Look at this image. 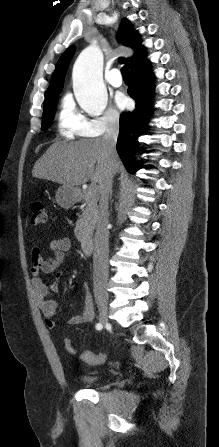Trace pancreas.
<instances>
[{
  "instance_id": "cf45deb5",
  "label": "pancreas",
  "mask_w": 219,
  "mask_h": 447,
  "mask_svg": "<svg viewBox=\"0 0 219 447\" xmlns=\"http://www.w3.org/2000/svg\"><path fill=\"white\" fill-rule=\"evenodd\" d=\"M83 199L86 206L82 209V214L79 216L74 230L75 236L80 242H85L91 238L98 218V197L96 195L90 196L87 192H84Z\"/></svg>"
}]
</instances>
